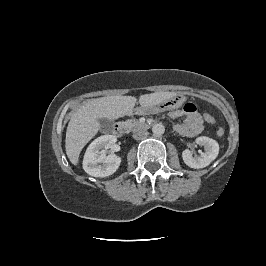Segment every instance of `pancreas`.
Returning <instances> with one entry per match:
<instances>
[{
  "instance_id": "obj_1",
  "label": "pancreas",
  "mask_w": 266,
  "mask_h": 266,
  "mask_svg": "<svg viewBox=\"0 0 266 266\" xmlns=\"http://www.w3.org/2000/svg\"><path fill=\"white\" fill-rule=\"evenodd\" d=\"M126 123L130 128H136L141 125L137 119L127 120Z\"/></svg>"
}]
</instances>
